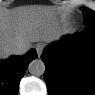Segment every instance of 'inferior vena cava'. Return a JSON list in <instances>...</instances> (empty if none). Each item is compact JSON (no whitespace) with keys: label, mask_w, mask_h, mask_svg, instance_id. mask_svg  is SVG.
Here are the masks:
<instances>
[{"label":"inferior vena cava","mask_w":95,"mask_h":95,"mask_svg":"<svg viewBox=\"0 0 95 95\" xmlns=\"http://www.w3.org/2000/svg\"><path fill=\"white\" fill-rule=\"evenodd\" d=\"M28 50V47L26 45H23V44H15L12 48H11V53L14 54V55H22L24 54L25 52H27Z\"/></svg>","instance_id":"1"}]
</instances>
